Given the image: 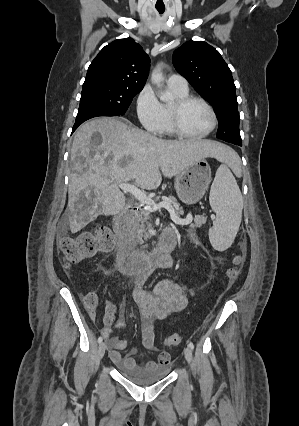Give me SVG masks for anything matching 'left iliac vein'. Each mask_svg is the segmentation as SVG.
Returning a JSON list of instances; mask_svg holds the SVG:
<instances>
[{
  "label": "left iliac vein",
  "instance_id": "1",
  "mask_svg": "<svg viewBox=\"0 0 299 426\" xmlns=\"http://www.w3.org/2000/svg\"><path fill=\"white\" fill-rule=\"evenodd\" d=\"M184 356H185V359L187 360V362L191 363V361H192V350H191L190 347H186L184 349Z\"/></svg>",
  "mask_w": 299,
  "mask_h": 426
}]
</instances>
